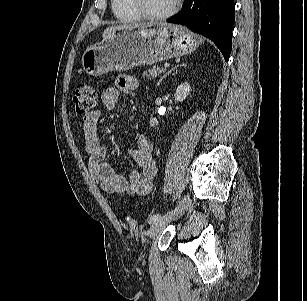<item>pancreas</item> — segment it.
Masks as SVG:
<instances>
[{
	"label": "pancreas",
	"mask_w": 307,
	"mask_h": 301,
	"mask_svg": "<svg viewBox=\"0 0 307 301\" xmlns=\"http://www.w3.org/2000/svg\"><path fill=\"white\" fill-rule=\"evenodd\" d=\"M165 71L164 68L159 67V66H154L152 69H150L148 72L145 71L144 75H146L147 78H156L158 77L161 73Z\"/></svg>",
	"instance_id": "obj_1"
}]
</instances>
